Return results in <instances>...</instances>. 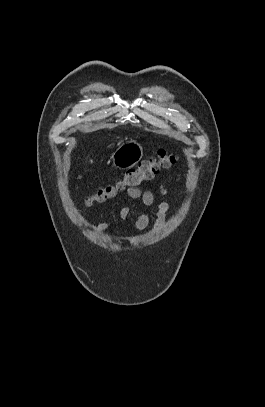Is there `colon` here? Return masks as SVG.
Instances as JSON below:
<instances>
[{
    "mask_svg": "<svg viewBox=\"0 0 265 407\" xmlns=\"http://www.w3.org/2000/svg\"><path fill=\"white\" fill-rule=\"evenodd\" d=\"M176 160L174 154L161 150L156 156L140 162L136 168L127 170L121 179L97 187L89 195L86 203L90 205L104 202L125 189L137 188L144 182L152 180L161 170L171 167Z\"/></svg>",
    "mask_w": 265,
    "mask_h": 407,
    "instance_id": "colon-1",
    "label": "colon"
}]
</instances>
